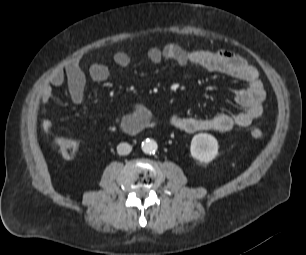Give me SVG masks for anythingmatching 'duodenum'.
<instances>
[{
  "label": "duodenum",
  "instance_id": "duodenum-1",
  "mask_svg": "<svg viewBox=\"0 0 306 255\" xmlns=\"http://www.w3.org/2000/svg\"><path fill=\"white\" fill-rule=\"evenodd\" d=\"M144 126V125H143ZM143 126H137L135 127L132 131H130L131 133L136 132L137 130H139L140 128H142Z\"/></svg>",
  "mask_w": 306,
  "mask_h": 255
}]
</instances>
